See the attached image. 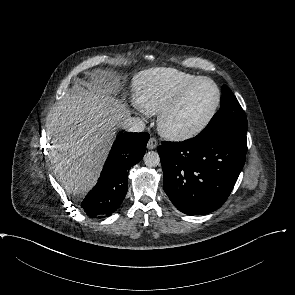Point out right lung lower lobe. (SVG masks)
Here are the masks:
<instances>
[{
	"mask_svg": "<svg viewBox=\"0 0 295 295\" xmlns=\"http://www.w3.org/2000/svg\"><path fill=\"white\" fill-rule=\"evenodd\" d=\"M149 137L145 132H126L116 138L96 186L81 203L89 217H107L119 208L127 192L128 171L144 156Z\"/></svg>",
	"mask_w": 295,
	"mask_h": 295,
	"instance_id": "1",
	"label": "right lung lower lobe"
}]
</instances>
